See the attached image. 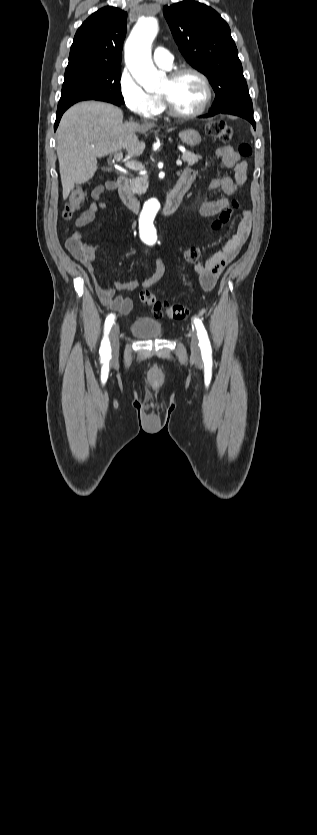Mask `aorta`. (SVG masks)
I'll use <instances>...</instances> for the list:
<instances>
[{
	"label": "aorta",
	"instance_id": "762f6f07",
	"mask_svg": "<svg viewBox=\"0 0 317 835\" xmlns=\"http://www.w3.org/2000/svg\"><path fill=\"white\" fill-rule=\"evenodd\" d=\"M158 29V19L155 16H146L137 22L125 43L126 65L136 82L147 92L159 88L165 78V74L157 70L151 58V47ZM159 207L155 198L145 203L140 218L142 237L157 239L153 222Z\"/></svg>",
	"mask_w": 317,
	"mask_h": 835
}]
</instances>
